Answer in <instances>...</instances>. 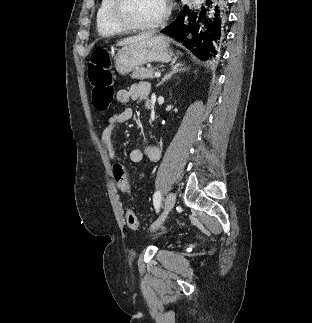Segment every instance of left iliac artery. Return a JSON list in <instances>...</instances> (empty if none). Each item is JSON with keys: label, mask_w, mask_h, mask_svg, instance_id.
<instances>
[{"label": "left iliac artery", "mask_w": 312, "mask_h": 323, "mask_svg": "<svg viewBox=\"0 0 312 323\" xmlns=\"http://www.w3.org/2000/svg\"><path fill=\"white\" fill-rule=\"evenodd\" d=\"M153 204H154V207H155L156 211L158 212V210L160 208V204H161V193H160V191H156L155 194L153 195Z\"/></svg>", "instance_id": "1"}]
</instances>
